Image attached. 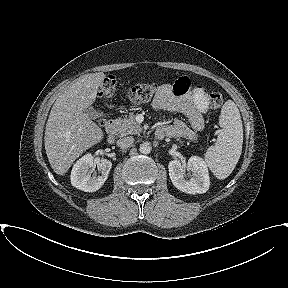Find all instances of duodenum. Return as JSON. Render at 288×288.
I'll list each match as a JSON object with an SVG mask.
<instances>
[{"label": "duodenum", "instance_id": "duodenum-1", "mask_svg": "<svg viewBox=\"0 0 288 288\" xmlns=\"http://www.w3.org/2000/svg\"><path fill=\"white\" fill-rule=\"evenodd\" d=\"M106 132L108 136V141L113 142L116 132H117V124L114 120H109L106 123ZM155 137L159 140L163 139L165 137V134L161 130H157L155 132Z\"/></svg>", "mask_w": 288, "mask_h": 288}]
</instances>
